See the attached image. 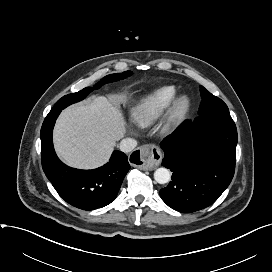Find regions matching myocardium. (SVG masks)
Segmentation results:
<instances>
[{"mask_svg":"<svg viewBox=\"0 0 272 272\" xmlns=\"http://www.w3.org/2000/svg\"><path fill=\"white\" fill-rule=\"evenodd\" d=\"M190 105L191 101L187 95L175 97L167 114L166 125L171 126L183 118L189 111Z\"/></svg>","mask_w":272,"mask_h":272,"instance_id":"myocardium-1","label":"myocardium"}]
</instances>
